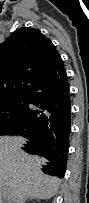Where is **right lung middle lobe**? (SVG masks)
<instances>
[{
	"label": "right lung middle lobe",
	"instance_id": "obj_1",
	"mask_svg": "<svg viewBox=\"0 0 89 203\" xmlns=\"http://www.w3.org/2000/svg\"><path fill=\"white\" fill-rule=\"evenodd\" d=\"M27 96L3 103L0 105V135L9 134L29 110Z\"/></svg>",
	"mask_w": 89,
	"mask_h": 203
}]
</instances>
